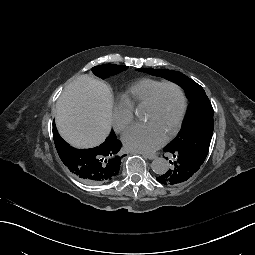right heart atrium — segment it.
Segmentation results:
<instances>
[{
  "mask_svg": "<svg viewBox=\"0 0 255 255\" xmlns=\"http://www.w3.org/2000/svg\"><path fill=\"white\" fill-rule=\"evenodd\" d=\"M134 121L133 111L117 103L111 111V124L117 133H122Z\"/></svg>",
  "mask_w": 255,
  "mask_h": 255,
  "instance_id": "d8ad5b80",
  "label": "right heart atrium"
}]
</instances>
